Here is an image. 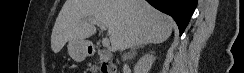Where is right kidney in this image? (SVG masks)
Here are the masks:
<instances>
[{"label": "right kidney", "mask_w": 244, "mask_h": 73, "mask_svg": "<svg viewBox=\"0 0 244 73\" xmlns=\"http://www.w3.org/2000/svg\"><path fill=\"white\" fill-rule=\"evenodd\" d=\"M154 60H155V57L153 54H150V53L145 54L136 63V65L134 67V73H148V71L152 67Z\"/></svg>", "instance_id": "obj_1"}]
</instances>
